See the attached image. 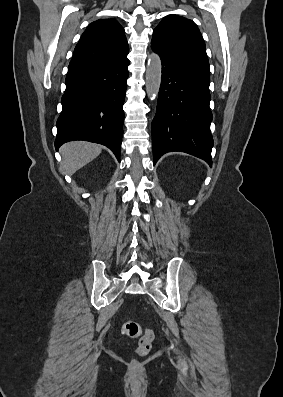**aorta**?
I'll list each match as a JSON object with an SVG mask.
<instances>
[{
	"label": "aorta",
	"instance_id": "aorta-1",
	"mask_svg": "<svg viewBox=\"0 0 283 397\" xmlns=\"http://www.w3.org/2000/svg\"><path fill=\"white\" fill-rule=\"evenodd\" d=\"M162 65L160 57L156 53L148 56L146 69V92L150 99H155L159 93L161 84Z\"/></svg>",
	"mask_w": 283,
	"mask_h": 397
}]
</instances>
